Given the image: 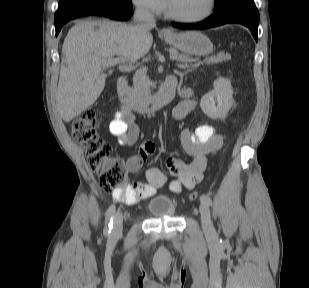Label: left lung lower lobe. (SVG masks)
<instances>
[{
	"mask_svg": "<svg viewBox=\"0 0 309 288\" xmlns=\"http://www.w3.org/2000/svg\"><path fill=\"white\" fill-rule=\"evenodd\" d=\"M227 23H239L247 26L258 41L259 14L253 0H236L226 7L215 11L212 16L198 23H172V26L184 30L207 29Z\"/></svg>",
	"mask_w": 309,
	"mask_h": 288,
	"instance_id": "0a47b994",
	"label": "left lung lower lobe"
}]
</instances>
